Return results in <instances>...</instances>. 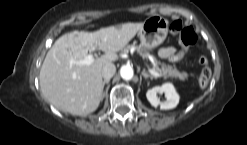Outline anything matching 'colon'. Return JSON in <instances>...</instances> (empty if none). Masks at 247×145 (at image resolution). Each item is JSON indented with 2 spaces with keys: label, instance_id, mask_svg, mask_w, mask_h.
<instances>
[{
  "label": "colon",
  "instance_id": "1",
  "mask_svg": "<svg viewBox=\"0 0 247 145\" xmlns=\"http://www.w3.org/2000/svg\"><path fill=\"white\" fill-rule=\"evenodd\" d=\"M171 32L176 35L182 44V46L192 45L197 41V35L192 27L184 26L181 20H175L170 25ZM199 64L202 66L199 85L206 87L211 79V69L208 66V59L205 56H201L198 59Z\"/></svg>",
  "mask_w": 247,
  "mask_h": 145
}]
</instances>
